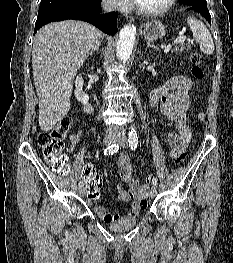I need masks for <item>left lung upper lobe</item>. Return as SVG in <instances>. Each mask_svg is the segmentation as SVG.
Returning <instances> with one entry per match:
<instances>
[{
	"mask_svg": "<svg viewBox=\"0 0 233 263\" xmlns=\"http://www.w3.org/2000/svg\"><path fill=\"white\" fill-rule=\"evenodd\" d=\"M179 3L184 6L207 5L206 0H179Z\"/></svg>",
	"mask_w": 233,
	"mask_h": 263,
	"instance_id": "obj_1",
	"label": "left lung upper lobe"
}]
</instances>
